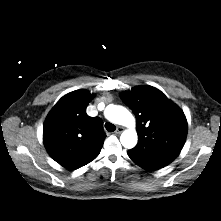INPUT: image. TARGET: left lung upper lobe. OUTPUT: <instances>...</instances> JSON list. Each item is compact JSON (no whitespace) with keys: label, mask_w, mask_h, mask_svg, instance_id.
I'll list each match as a JSON object with an SVG mask.
<instances>
[{"label":"left lung upper lobe","mask_w":221,"mask_h":221,"mask_svg":"<svg viewBox=\"0 0 221 221\" xmlns=\"http://www.w3.org/2000/svg\"><path fill=\"white\" fill-rule=\"evenodd\" d=\"M121 99L137 120L138 143L128 152L175 159L187 136L188 125L183 111L152 86H137L123 92Z\"/></svg>","instance_id":"1"}]
</instances>
